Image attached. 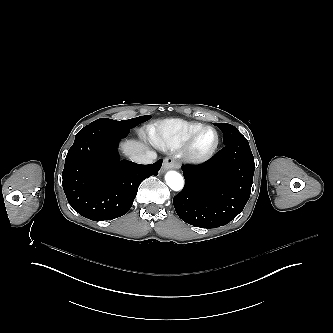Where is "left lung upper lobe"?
<instances>
[{
  "label": "left lung upper lobe",
  "mask_w": 333,
  "mask_h": 333,
  "mask_svg": "<svg viewBox=\"0 0 333 333\" xmlns=\"http://www.w3.org/2000/svg\"><path fill=\"white\" fill-rule=\"evenodd\" d=\"M223 132L224 145L231 143L232 141L244 139L245 137L238 131L237 128L227 123H214Z\"/></svg>",
  "instance_id": "obj_1"
}]
</instances>
